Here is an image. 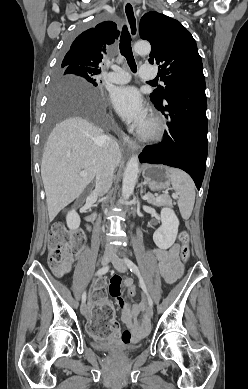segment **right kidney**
<instances>
[{
	"label": "right kidney",
	"mask_w": 248,
	"mask_h": 389,
	"mask_svg": "<svg viewBox=\"0 0 248 389\" xmlns=\"http://www.w3.org/2000/svg\"><path fill=\"white\" fill-rule=\"evenodd\" d=\"M66 222L70 230H76L80 226V216L75 210H71L66 216Z\"/></svg>",
	"instance_id": "obj_1"
}]
</instances>
